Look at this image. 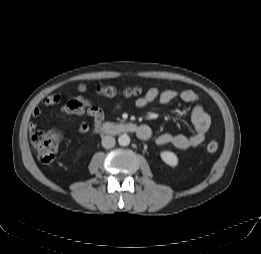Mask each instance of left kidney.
<instances>
[{"mask_svg":"<svg viewBox=\"0 0 261 254\" xmlns=\"http://www.w3.org/2000/svg\"><path fill=\"white\" fill-rule=\"evenodd\" d=\"M160 157L169 166L175 167L178 165V158L173 152L163 151L160 153Z\"/></svg>","mask_w":261,"mask_h":254,"instance_id":"obj_1","label":"left kidney"}]
</instances>
